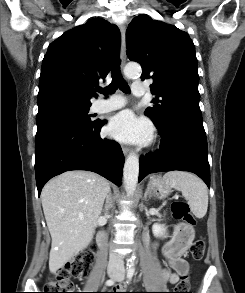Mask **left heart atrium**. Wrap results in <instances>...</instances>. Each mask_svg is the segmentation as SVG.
Returning <instances> with one entry per match:
<instances>
[{"label": "left heart atrium", "instance_id": "obj_1", "mask_svg": "<svg viewBox=\"0 0 245 293\" xmlns=\"http://www.w3.org/2000/svg\"><path fill=\"white\" fill-rule=\"evenodd\" d=\"M151 124L125 110L113 116L107 126V133L114 139L127 143H145L151 137Z\"/></svg>", "mask_w": 245, "mask_h": 293}]
</instances>
